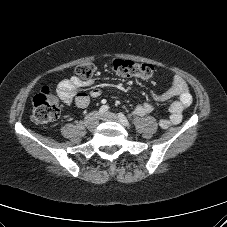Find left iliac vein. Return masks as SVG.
Returning a JSON list of instances; mask_svg holds the SVG:
<instances>
[{"label": "left iliac vein", "instance_id": "4c4485c4", "mask_svg": "<svg viewBox=\"0 0 227 227\" xmlns=\"http://www.w3.org/2000/svg\"><path fill=\"white\" fill-rule=\"evenodd\" d=\"M101 119H102V120L115 121V122H118V123H120V124L126 126V125L119 119V117H118L116 114L111 113V112H107V113L103 114V115L101 116Z\"/></svg>", "mask_w": 227, "mask_h": 227}]
</instances>
